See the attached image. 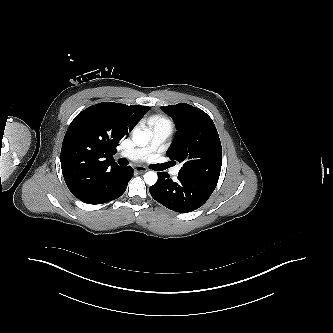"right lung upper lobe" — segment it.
<instances>
[{
	"instance_id": "1",
	"label": "right lung upper lobe",
	"mask_w": 333,
	"mask_h": 333,
	"mask_svg": "<svg viewBox=\"0 0 333 333\" xmlns=\"http://www.w3.org/2000/svg\"><path fill=\"white\" fill-rule=\"evenodd\" d=\"M150 109L102 102L80 112L69 125L61 148V169L74 196L91 182L118 168L112 155L120 140Z\"/></svg>"
}]
</instances>
